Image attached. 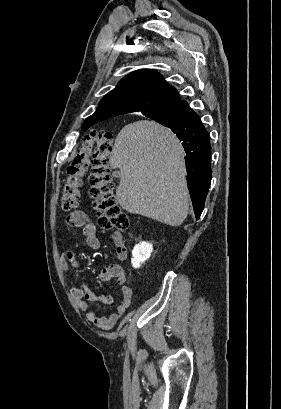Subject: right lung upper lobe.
Returning <instances> with one entry per match:
<instances>
[{"label":"right lung upper lobe","instance_id":"cb5924a9","mask_svg":"<svg viewBox=\"0 0 281 409\" xmlns=\"http://www.w3.org/2000/svg\"><path fill=\"white\" fill-rule=\"evenodd\" d=\"M177 90L156 71L142 69L123 78L117 87L106 94L96 112L83 123L87 130L93 124L130 112L158 110L180 102Z\"/></svg>","mask_w":281,"mask_h":409}]
</instances>
